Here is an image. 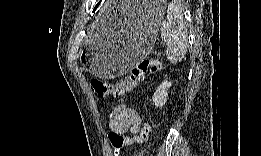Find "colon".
I'll return each mask as SVG.
<instances>
[{
	"label": "colon",
	"mask_w": 261,
	"mask_h": 156,
	"mask_svg": "<svg viewBox=\"0 0 261 156\" xmlns=\"http://www.w3.org/2000/svg\"><path fill=\"white\" fill-rule=\"evenodd\" d=\"M161 69L159 60H142L132 70L128 78L122 82H109L100 79H93L90 82L92 91L99 97L115 96L124 99L125 95L131 92L137 84L144 78L146 73H157ZM150 132V125L144 123L140 132L133 136H123L122 134L111 132L108 140L113 149L114 155H119L122 149L134 144H144Z\"/></svg>",
	"instance_id": "obj_1"
}]
</instances>
